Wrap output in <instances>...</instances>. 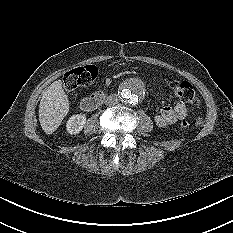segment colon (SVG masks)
Returning <instances> with one entry per match:
<instances>
[{"label":"colon","instance_id":"5ec220e1","mask_svg":"<svg viewBox=\"0 0 233 233\" xmlns=\"http://www.w3.org/2000/svg\"><path fill=\"white\" fill-rule=\"evenodd\" d=\"M98 75V70L93 65H86L75 68L65 73L63 77L64 88L67 91H73L79 87L90 85ZM171 89L175 96L191 105L200 103L199 97L195 92L192 84L186 80H174L171 83ZM180 127L187 130L190 123L187 120H182Z\"/></svg>","mask_w":233,"mask_h":233}]
</instances>
